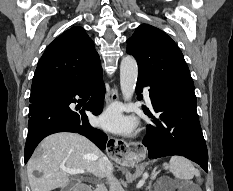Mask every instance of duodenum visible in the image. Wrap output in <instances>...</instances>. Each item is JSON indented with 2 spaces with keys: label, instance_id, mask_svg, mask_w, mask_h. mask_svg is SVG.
I'll return each mask as SVG.
<instances>
[{
  "label": "duodenum",
  "instance_id": "duodenum-1",
  "mask_svg": "<svg viewBox=\"0 0 233 191\" xmlns=\"http://www.w3.org/2000/svg\"><path fill=\"white\" fill-rule=\"evenodd\" d=\"M74 191H92L89 186L86 185H80L75 188Z\"/></svg>",
  "mask_w": 233,
  "mask_h": 191
}]
</instances>
